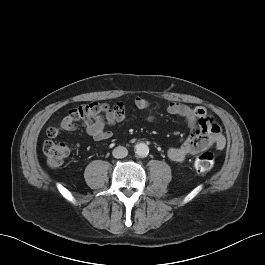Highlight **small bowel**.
<instances>
[{
	"label": "small bowel",
	"mask_w": 265,
	"mask_h": 265,
	"mask_svg": "<svg viewBox=\"0 0 265 265\" xmlns=\"http://www.w3.org/2000/svg\"><path fill=\"white\" fill-rule=\"evenodd\" d=\"M135 105L139 109H148L149 103L144 97H137ZM116 111L112 114L99 118L87 126V134L95 141H105L111 138L112 133L107 126L123 122L127 118L123 104H117ZM168 112L172 115L182 117L192 128V132L185 142L180 146L170 147L167 156L174 163H182L190 155L214 146L219 150L225 148L226 140L221 131L213 133L211 131L214 125H217L212 117L207 115L203 107H191L186 104L173 102L168 106ZM152 119V117H151ZM210 131V136H204L205 132Z\"/></svg>",
	"instance_id": "1"
}]
</instances>
